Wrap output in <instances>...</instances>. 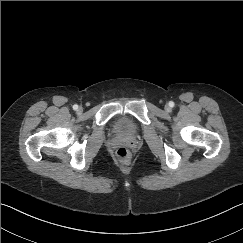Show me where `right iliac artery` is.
Returning <instances> with one entry per match:
<instances>
[{"instance_id": "right-iliac-artery-1", "label": "right iliac artery", "mask_w": 243, "mask_h": 243, "mask_svg": "<svg viewBox=\"0 0 243 243\" xmlns=\"http://www.w3.org/2000/svg\"><path fill=\"white\" fill-rule=\"evenodd\" d=\"M73 109H74V110H77V109H78V105H76V104L73 105Z\"/></svg>"}]
</instances>
